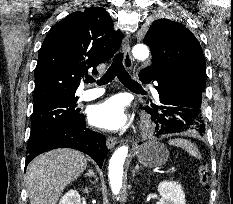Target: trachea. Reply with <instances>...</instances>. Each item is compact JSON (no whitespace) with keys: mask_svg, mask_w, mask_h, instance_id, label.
Masks as SVG:
<instances>
[{"mask_svg":"<svg viewBox=\"0 0 233 204\" xmlns=\"http://www.w3.org/2000/svg\"><path fill=\"white\" fill-rule=\"evenodd\" d=\"M123 54L118 53L114 56L113 62L111 66L108 68L106 73L102 76V78L97 81L98 85H105L111 82L115 77L119 79V81L130 89L141 90L142 87L134 80L131 79L128 72L125 70L122 64ZM86 83H93L95 80L92 77H89L85 81Z\"/></svg>","mask_w":233,"mask_h":204,"instance_id":"3493384b","label":"trachea"}]
</instances>
